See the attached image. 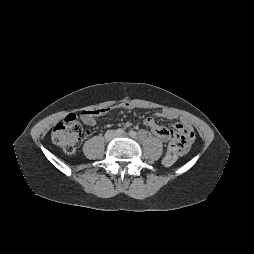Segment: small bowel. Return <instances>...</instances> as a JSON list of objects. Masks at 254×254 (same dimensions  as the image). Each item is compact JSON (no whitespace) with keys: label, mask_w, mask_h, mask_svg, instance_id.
<instances>
[{"label":"small bowel","mask_w":254,"mask_h":254,"mask_svg":"<svg viewBox=\"0 0 254 254\" xmlns=\"http://www.w3.org/2000/svg\"><path fill=\"white\" fill-rule=\"evenodd\" d=\"M123 107L130 109L133 108L131 104H123ZM97 114L90 115L86 112L83 114V120L86 124L93 126L96 122V117L104 115L108 112L107 108L100 109ZM159 118L174 119L176 116L174 113L168 110H162L156 114ZM143 124L146 128L150 129L160 140L163 142L177 143L181 156L186 154L194 140V132L191 126L187 122L176 123L173 128L169 129L160 126L156 123L153 117H147L144 119ZM166 165V164H165ZM170 166V165H167Z\"/></svg>","instance_id":"obj_1"}]
</instances>
